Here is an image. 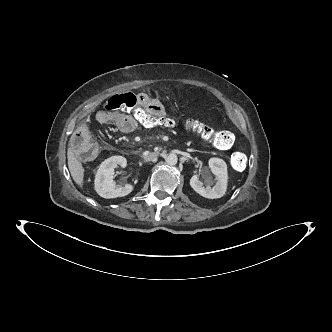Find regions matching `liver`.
<instances>
[{"instance_id": "1", "label": "liver", "mask_w": 332, "mask_h": 332, "mask_svg": "<svg viewBox=\"0 0 332 332\" xmlns=\"http://www.w3.org/2000/svg\"><path fill=\"white\" fill-rule=\"evenodd\" d=\"M68 158V168L73 180L79 184L83 185L84 178V168L81 162L75 156V150L70 146L67 151Z\"/></svg>"}]
</instances>
